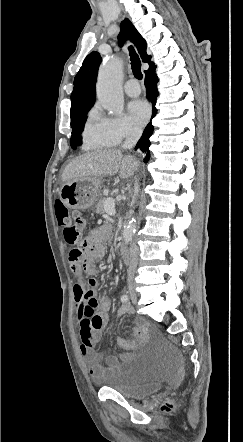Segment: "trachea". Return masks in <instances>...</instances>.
Wrapping results in <instances>:
<instances>
[{
  "label": "trachea",
  "instance_id": "3493384b",
  "mask_svg": "<svg viewBox=\"0 0 243 442\" xmlns=\"http://www.w3.org/2000/svg\"><path fill=\"white\" fill-rule=\"evenodd\" d=\"M129 55L131 60L132 72L135 78L141 80L143 75L141 72V62L133 47H129Z\"/></svg>",
  "mask_w": 243,
  "mask_h": 442
}]
</instances>
